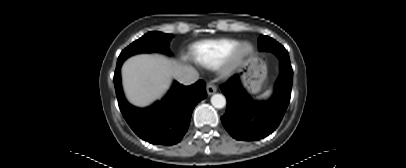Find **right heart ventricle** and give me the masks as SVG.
<instances>
[{
    "instance_id": "e07e8e85",
    "label": "right heart ventricle",
    "mask_w": 406,
    "mask_h": 168,
    "mask_svg": "<svg viewBox=\"0 0 406 168\" xmlns=\"http://www.w3.org/2000/svg\"><path fill=\"white\" fill-rule=\"evenodd\" d=\"M241 42L231 38L210 39L190 47V59L205 68L213 69L226 62Z\"/></svg>"
}]
</instances>
